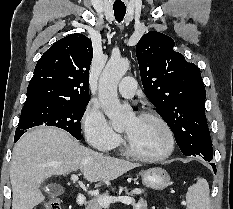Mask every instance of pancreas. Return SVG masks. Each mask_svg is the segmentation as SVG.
<instances>
[{
    "label": "pancreas",
    "instance_id": "obj_1",
    "mask_svg": "<svg viewBox=\"0 0 233 209\" xmlns=\"http://www.w3.org/2000/svg\"><path fill=\"white\" fill-rule=\"evenodd\" d=\"M123 190L127 195L132 196V193L128 192L126 188L119 187V192H122ZM102 196H109V192L106 191ZM130 198L132 199L131 204L133 209H147V202L143 198H141L137 203L133 197ZM85 209H103V207L98 203V198H92L90 201H88Z\"/></svg>",
    "mask_w": 233,
    "mask_h": 209
}]
</instances>
